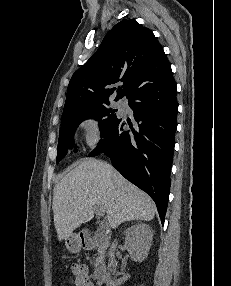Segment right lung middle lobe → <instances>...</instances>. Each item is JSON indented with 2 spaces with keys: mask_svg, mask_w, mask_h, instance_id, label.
Returning a JSON list of instances; mask_svg holds the SVG:
<instances>
[{
  "mask_svg": "<svg viewBox=\"0 0 231 286\" xmlns=\"http://www.w3.org/2000/svg\"><path fill=\"white\" fill-rule=\"evenodd\" d=\"M105 104H109V102L98 104L62 116L56 162H59L66 155V150L74 145V131L83 120L93 118L99 121L102 136L108 132V130L117 120V117L116 114H114L115 111L107 109Z\"/></svg>",
  "mask_w": 231,
  "mask_h": 286,
  "instance_id": "right-lung-middle-lobe-1",
  "label": "right lung middle lobe"
}]
</instances>
